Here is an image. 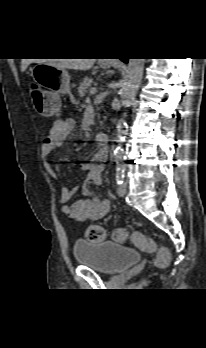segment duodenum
Segmentation results:
<instances>
[{
	"mask_svg": "<svg viewBox=\"0 0 206 348\" xmlns=\"http://www.w3.org/2000/svg\"><path fill=\"white\" fill-rule=\"evenodd\" d=\"M109 140V133L106 131L99 132L96 135V141L100 143H106Z\"/></svg>",
	"mask_w": 206,
	"mask_h": 348,
	"instance_id": "1",
	"label": "duodenum"
}]
</instances>
